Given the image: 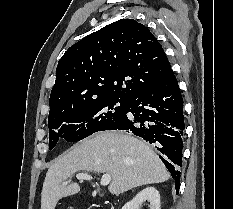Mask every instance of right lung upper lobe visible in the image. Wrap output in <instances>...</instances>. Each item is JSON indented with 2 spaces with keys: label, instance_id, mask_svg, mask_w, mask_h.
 Instances as JSON below:
<instances>
[{
  "label": "right lung upper lobe",
  "instance_id": "obj_1",
  "mask_svg": "<svg viewBox=\"0 0 233 209\" xmlns=\"http://www.w3.org/2000/svg\"><path fill=\"white\" fill-rule=\"evenodd\" d=\"M171 70L149 29L120 19L72 45L60 59L50 94V112L97 100H129L152 88Z\"/></svg>",
  "mask_w": 233,
  "mask_h": 209
}]
</instances>
